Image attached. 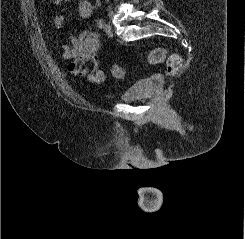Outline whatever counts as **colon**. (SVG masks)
<instances>
[{"label":"colon","mask_w":245,"mask_h":239,"mask_svg":"<svg viewBox=\"0 0 245 239\" xmlns=\"http://www.w3.org/2000/svg\"><path fill=\"white\" fill-rule=\"evenodd\" d=\"M47 2L49 0H42ZM149 62L152 64H158L161 62H166V70L169 76H175L182 69V59L177 54L166 55V51L162 48L154 49L150 52L148 56ZM123 68L119 65L113 67V74L116 77L123 76Z\"/></svg>","instance_id":"5ec220e1"}]
</instances>
